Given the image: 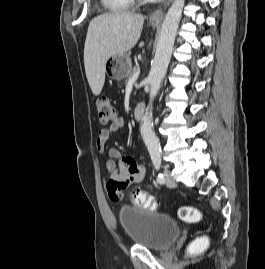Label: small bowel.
<instances>
[{
  "label": "small bowel",
  "mask_w": 265,
  "mask_h": 269,
  "mask_svg": "<svg viewBox=\"0 0 265 269\" xmlns=\"http://www.w3.org/2000/svg\"><path fill=\"white\" fill-rule=\"evenodd\" d=\"M124 127V120L117 119L98 132L96 148L100 153H107L109 159L105 162L107 171V189L113 202H121L125 189L142 182L145 167L131 156L122 154L116 148L107 149L106 143L111 134L119 133Z\"/></svg>",
  "instance_id": "1"
}]
</instances>
